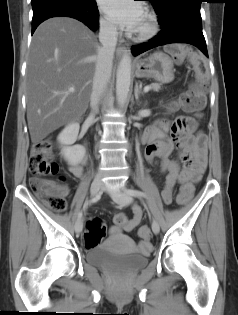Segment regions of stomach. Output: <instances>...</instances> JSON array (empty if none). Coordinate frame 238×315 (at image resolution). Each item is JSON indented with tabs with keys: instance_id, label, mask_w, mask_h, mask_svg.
Instances as JSON below:
<instances>
[{
	"instance_id": "obj_1",
	"label": "stomach",
	"mask_w": 238,
	"mask_h": 315,
	"mask_svg": "<svg viewBox=\"0 0 238 315\" xmlns=\"http://www.w3.org/2000/svg\"><path fill=\"white\" fill-rule=\"evenodd\" d=\"M172 59L163 52H155L149 57L137 60L138 78H152L160 83H169L174 79Z\"/></svg>"
}]
</instances>
